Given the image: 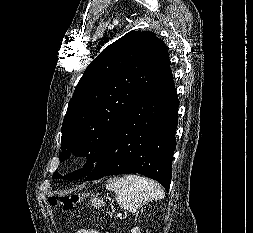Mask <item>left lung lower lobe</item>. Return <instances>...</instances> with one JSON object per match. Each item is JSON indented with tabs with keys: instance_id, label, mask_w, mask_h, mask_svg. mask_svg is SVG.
Returning a JSON list of instances; mask_svg holds the SVG:
<instances>
[{
	"instance_id": "obj_1",
	"label": "left lung lower lobe",
	"mask_w": 253,
	"mask_h": 233,
	"mask_svg": "<svg viewBox=\"0 0 253 233\" xmlns=\"http://www.w3.org/2000/svg\"><path fill=\"white\" fill-rule=\"evenodd\" d=\"M177 110L169 65L121 121L85 181L137 173L158 181L168 191L176 148Z\"/></svg>"
}]
</instances>
